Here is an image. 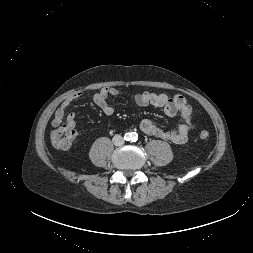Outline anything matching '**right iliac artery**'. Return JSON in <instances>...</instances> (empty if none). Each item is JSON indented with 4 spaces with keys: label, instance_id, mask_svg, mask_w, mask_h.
Returning a JSON list of instances; mask_svg holds the SVG:
<instances>
[{
    "label": "right iliac artery",
    "instance_id": "82829eb1",
    "mask_svg": "<svg viewBox=\"0 0 253 253\" xmlns=\"http://www.w3.org/2000/svg\"><path fill=\"white\" fill-rule=\"evenodd\" d=\"M130 137H131V136L129 135V133H126L124 139H125V140H129Z\"/></svg>",
    "mask_w": 253,
    "mask_h": 253
}]
</instances>
